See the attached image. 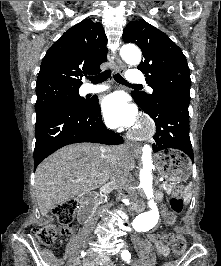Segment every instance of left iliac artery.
Masks as SVG:
<instances>
[{
  "label": "left iliac artery",
  "mask_w": 221,
  "mask_h": 266,
  "mask_svg": "<svg viewBox=\"0 0 221 266\" xmlns=\"http://www.w3.org/2000/svg\"><path fill=\"white\" fill-rule=\"evenodd\" d=\"M121 256L124 260H129L131 258V254L128 250L122 251Z\"/></svg>",
  "instance_id": "44dca946"
}]
</instances>
